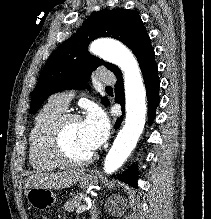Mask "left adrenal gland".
I'll return each instance as SVG.
<instances>
[{"label": "left adrenal gland", "mask_w": 211, "mask_h": 219, "mask_svg": "<svg viewBox=\"0 0 211 219\" xmlns=\"http://www.w3.org/2000/svg\"><path fill=\"white\" fill-rule=\"evenodd\" d=\"M91 219H97L99 211H97V208L95 206V204L93 203L92 207H91Z\"/></svg>", "instance_id": "obj_1"}]
</instances>
